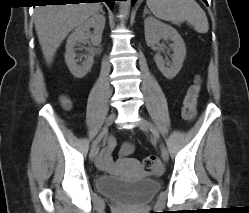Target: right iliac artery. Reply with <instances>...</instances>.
Wrapping results in <instances>:
<instances>
[{"label": "right iliac artery", "mask_w": 249, "mask_h": 213, "mask_svg": "<svg viewBox=\"0 0 249 213\" xmlns=\"http://www.w3.org/2000/svg\"><path fill=\"white\" fill-rule=\"evenodd\" d=\"M106 133H107V129L104 128L103 131L98 135V137L93 142L92 148L101 141V139L105 136Z\"/></svg>", "instance_id": "right-iliac-artery-1"}]
</instances>
